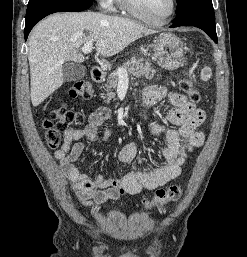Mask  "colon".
Returning a JSON list of instances; mask_svg holds the SVG:
<instances>
[{
	"instance_id": "colon-1",
	"label": "colon",
	"mask_w": 247,
	"mask_h": 257,
	"mask_svg": "<svg viewBox=\"0 0 247 257\" xmlns=\"http://www.w3.org/2000/svg\"><path fill=\"white\" fill-rule=\"evenodd\" d=\"M180 88L187 93L192 101L198 102L200 94L189 79L180 82ZM69 94L73 98L90 99L93 95L92 84L87 80H79L72 84ZM84 115L69 109L65 104L57 107L49 118L44 121L45 139L50 148H56L61 141V129L81 125L84 122ZM182 194L179 186H171L167 189H159L151 199L144 200L146 209L151 210L155 207L166 205L177 201Z\"/></svg>"
}]
</instances>
